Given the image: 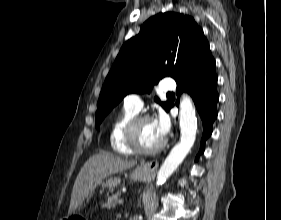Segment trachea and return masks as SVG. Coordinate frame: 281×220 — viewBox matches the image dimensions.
<instances>
[{
    "label": "trachea",
    "instance_id": "trachea-1",
    "mask_svg": "<svg viewBox=\"0 0 281 220\" xmlns=\"http://www.w3.org/2000/svg\"><path fill=\"white\" fill-rule=\"evenodd\" d=\"M172 94H173V93H170V92H169V93H167V95H172Z\"/></svg>",
    "mask_w": 281,
    "mask_h": 220
}]
</instances>
